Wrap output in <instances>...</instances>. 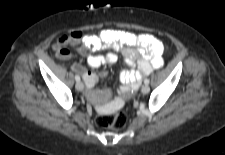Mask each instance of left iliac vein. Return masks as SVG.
Returning a JSON list of instances; mask_svg holds the SVG:
<instances>
[{
    "label": "left iliac vein",
    "instance_id": "obj_1",
    "mask_svg": "<svg viewBox=\"0 0 225 155\" xmlns=\"http://www.w3.org/2000/svg\"><path fill=\"white\" fill-rule=\"evenodd\" d=\"M150 91V87L148 85H143L142 88H141V92L143 94H147L148 92Z\"/></svg>",
    "mask_w": 225,
    "mask_h": 155
}]
</instances>
